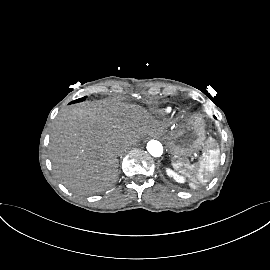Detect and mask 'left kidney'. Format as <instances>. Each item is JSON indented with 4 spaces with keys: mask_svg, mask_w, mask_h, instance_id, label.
<instances>
[{
    "mask_svg": "<svg viewBox=\"0 0 270 270\" xmlns=\"http://www.w3.org/2000/svg\"><path fill=\"white\" fill-rule=\"evenodd\" d=\"M166 173L169 177H173L176 182L183 183L184 178L177 175L174 171H172L170 168H166Z\"/></svg>",
    "mask_w": 270,
    "mask_h": 270,
    "instance_id": "5707ae66",
    "label": "left kidney"
}]
</instances>
